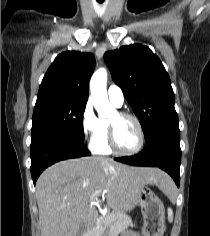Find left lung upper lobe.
Here are the masks:
<instances>
[{
  "instance_id": "left-lung-upper-lobe-1",
  "label": "left lung upper lobe",
  "mask_w": 210,
  "mask_h": 236,
  "mask_svg": "<svg viewBox=\"0 0 210 236\" xmlns=\"http://www.w3.org/2000/svg\"><path fill=\"white\" fill-rule=\"evenodd\" d=\"M104 59L114 82L138 117L145 138L160 127L178 125L169 75L148 47L123 46L106 52Z\"/></svg>"
}]
</instances>
